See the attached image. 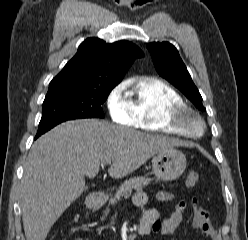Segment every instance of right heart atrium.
Returning a JSON list of instances; mask_svg holds the SVG:
<instances>
[{"label": "right heart atrium", "mask_w": 248, "mask_h": 240, "mask_svg": "<svg viewBox=\"0 0 248 240\" xmlns=\"http://www.w3.org/2000/svg\"><path fill=\"white\" fill-rule=\"evenodd\" d=\"M126 89L127 85L123 82L115 85L108 92L105 104L108 114L114 122L134 126V114Z\"/></svg>", "instance_id": "1"}]
</instances>
